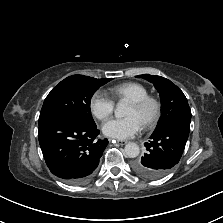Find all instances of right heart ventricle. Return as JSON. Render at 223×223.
<instances>
[{
    "label": "right heart ventricle",
    "mask_w": 223,
    "mask_h": 223,
    "mask_svg": "<svg viewBox=\"0 0 223 223\" xmlns=\"http://www.w3.org/2000/svg\"><path fill=\"white\" fill-rule=\"evenodd\" d=\"M109 92L116 100L133 101L149 94L148 89L138 82H124L109 88Z\"/></svg>",
    "instance_id": "e07e8e85"
}]
</instances>
